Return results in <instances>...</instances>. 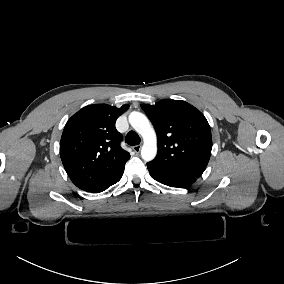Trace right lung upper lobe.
Here are the masks:
<instances>
[{"mask_svg":"<svg viewBox=\"0 0 284 284\" xmlns=\"http://www.w3.org/2000/svg\"><path fill=\"white\" fill-rule=\"evenodd\" d=\"M129 105L121 108L95 104L82 108L66 123L60 141V157L72 182L95 192L119 174L130 154L120 147L122 135L115 122Z\"/></svg>","mask_w":284,"mask_h":284,"instance_id":"obj_1","label":"right lung upper lobe"}]
</instances>
